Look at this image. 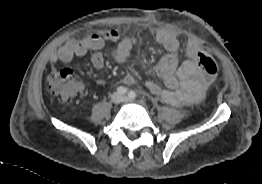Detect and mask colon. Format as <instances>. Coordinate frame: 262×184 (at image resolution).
<instances>
[{"label":"colon","instance_id":"obj_1","mask_svg":"<svg viewBox=\"0 0 262 184\" xmlns=\"http://www.w3.org/2000/svg\"><path fill=\"white\" fill-rule=\"evenodd\" d=\"M195 56L208 82L215 81L219 74L217 62L209 53L203 50H197ZM47 89L59 103H65L79 91L80 85L72 70L62 69L49 74Z\"/></svg>","mask_w":262,"mask_h":184}]
</instances>
